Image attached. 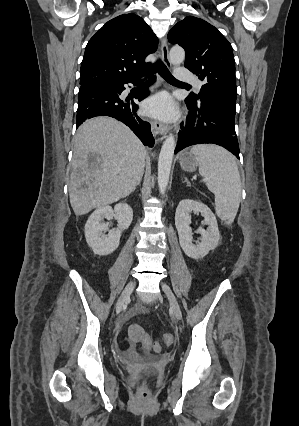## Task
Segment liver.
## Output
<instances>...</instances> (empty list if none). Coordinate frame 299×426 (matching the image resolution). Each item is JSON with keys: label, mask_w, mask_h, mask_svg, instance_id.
<instances>
[{"label": "liver", "mask_w": 299, "mask_h": 426, "mask_svg": "<svg viewBox=\"0 0 299 426\" xmlns=\"http://www.w3.org/2000/svg\"><path fill=\"white\" fill-rule=\"evenodd\" d=\"M145 158L144 145L123 123L110 117L85 121L73 140L69 198L74 213L84 215L128 196L143 176Z\"/></svg>", "instance_id": "1"}]
</instances>
